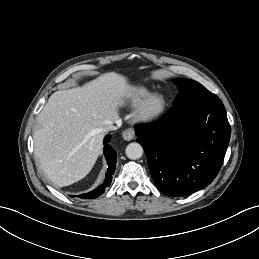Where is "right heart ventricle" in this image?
I'll return each mask as SVG.
<instances>
[{"label": "right heart ventricle", "instance_id": "right-heart-ventricle-1", "mask_svg": "<svg viewBox=\"0 0 259 259\" xmlns=\"http://www.w3.org/2000/svg\"><path fill=\"white\" fill-rule=\"evenodd\" d=\"M149 90L144 87H138L133 90L124 92L120 98L119 102L121 104H136L141 102L145 97L149 95Z\"/></svg>", "mask_w": 259, "mask_h": 259}]
</instances>
